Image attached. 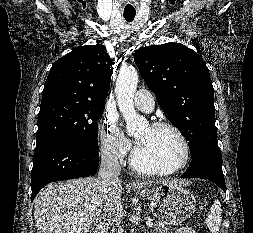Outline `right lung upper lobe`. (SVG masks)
Segmentation results:
<instances>
[{
    "instance_id": "obj_1",
    "label": "right lung upper lobe",
    "mask_w": 253,
    "mask_h": 233,
    "mask_svg": "<svg viewBox=\"0 0 253 233\" xmlns=\"http://www.w3.org/2000/svg\"><path fill=\"white\" fill-rule=\"evenodd\" d=\"M113 64L102 44L73 50L52 65L42 103L52 100L105 103Z\"/></svg>"
}]
</instances>
